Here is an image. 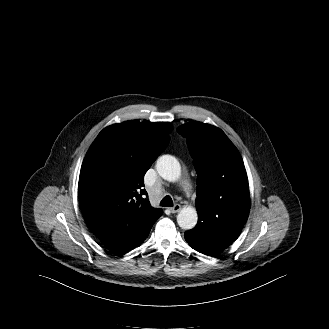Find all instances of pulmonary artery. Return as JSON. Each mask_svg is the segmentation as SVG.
Returning <instances> with one entry per match:
<instances>
[{"label":"pulmonary artery","instance_id":"pulmonary-artery-1","mask_svg":"<svg viewBox=\"0 0 329 329\" xmlns=\"http://www.w3.org/2000/svg\"><path fill=\"white\" fill-rule=\"evenodd\" d=\"M184 187H185V189H189L190 188V186H189L188 183H185Z\"/></svg>","mask_w":329,"mask_h":329}]
</instances>
